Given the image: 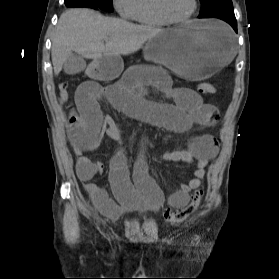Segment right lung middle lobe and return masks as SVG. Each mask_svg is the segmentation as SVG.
Returning <instances> with one entry per match:
<instances>
[{"instance_id": "dd1d6c3e", "label": "right lung middle lobe", "mask_w": 279, "mask_h": 279, "mask_svg": "<svg viewBox=\"0 0 279 279\" xmlns=\"http://www.w3.org/2000/svg\"><path fill=\"white\" fill-rule=\"evenodd\" d=\"M91 3L95 4L98 8L112 12L113 11V2L112 0H88Z\"/></svg>"}]
</instances>
